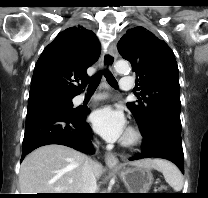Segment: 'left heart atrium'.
I'll use <instances>...</instances> for the list:
<instances>
[{
	"mask_svg": "<svg viewBox=\"0 0 208 198\" xmlns=\"http://www.w3.org/2000/svg\"><path fill=\"white\" fill-rule=\"evenodd\" d=\"M90 119L93 129L107 141H116L126 133V118L118 108H99L91 114Z\"/></svg>",
	"mask_w": 208,
	"mask_h": 198,
	"instance_id": "left-heart-atrium-1",
	"label": "left heart atrium"
}]
</instances>
